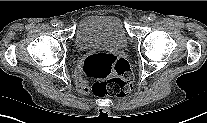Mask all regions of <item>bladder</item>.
<instances>
[{
    "instance_id": "1",
    "label": "bladder",
    "mask_w": 207,
    "mask_h": 123,
    "mask_svg": "<svg viewBox=\"0 0 207 123\" xmlns=\"http://www.w3.org/2000/svg\"><path fill=\"white\" fill-rule=\"evenodd\" d=\"M126 45L125 28L116 16H88L77 26L75 46L79 51H118Z\"/></svg>"
}]
</instances>
